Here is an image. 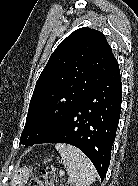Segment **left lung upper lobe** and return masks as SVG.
<instances>
[{
	"label": "left lung upper lobe",
	"mask_w": 138,
	"mask_h": 186,
	"mask_svg": "<svg viewBox=\"0 0 138 186\" xmlns=\"http://www.w3.org/2000/svg\"><path fill=\"white\" fill-rule=\"evenodd\" d=\"M116 64L100 31L79 28L65 38L36 82L20 144L31 146L53 131Z\"/></svg>",
	"instance_id": "obj_1"
}]
</instances>
